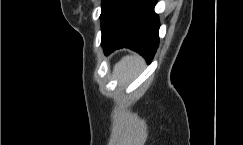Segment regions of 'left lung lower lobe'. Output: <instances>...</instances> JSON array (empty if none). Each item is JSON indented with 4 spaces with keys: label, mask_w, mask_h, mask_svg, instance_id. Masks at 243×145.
Wrapping results in <instances>:
<instances>
[{
    "label": "left lung lower lobe",
    "mask_w": 243,
    "mask_h": 145,
    "mask_svg": "<svg viewBox=\"0 0 243 145\" xmlns=\"http://www.w3.org/2000/svg\"><path fill=\"white\" fill-rule=\"evenodd\" d=\"M157 0H129L106 34L102 35L104 53L130 48L149 63L159 43V19L154 12Z\"/></svg>",
    "instance_id": "0a47b994"
}]
</instances>
